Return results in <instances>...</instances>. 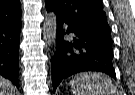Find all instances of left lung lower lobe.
<instances>
[{"mask_svg":"<svg viewBox=\"0 0 135 95\" xmlns=\"http://www.w3.org/2000/svg\"><path fill=\"white\" fill-rule=\"evenodd\" d=\"M71 33L74 37L67 40L65 36ZM112 59L110 31L90 29L57 17L56 51L51 58L54 91L63 79L83 71L104 72L116 79Z\"/></svg>","mask_w":135,"mask_h":95,"instance_id":"0a47b994","label":"left lung lower lobe"}]
</instances>
